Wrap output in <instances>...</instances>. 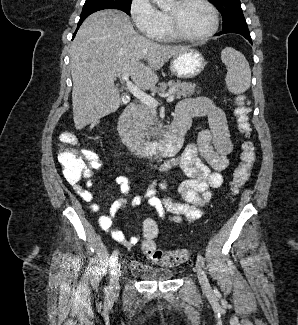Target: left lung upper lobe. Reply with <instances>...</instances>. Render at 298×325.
I'll return each instance as SVG.
<instances>
[{
  "label": "left lung upper lobe",
  "instance_id": "1",
  "mask_svg": "<svg viewBox=\"0 0 298 325\" xmlns=\"http://www.w3.org/2000/svg\"><path fill=\"white\" fill-rule=\"evenodd\" d=\"M222 14L223 25L226 27L234 22L242 21L244 15L241 9L240 0H211Z\"/></svg>",
  "mask_w": 298,
  "mask_h": 325
}]
</instances>
